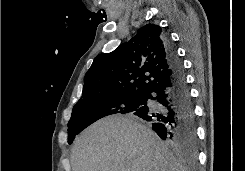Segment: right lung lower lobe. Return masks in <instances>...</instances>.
Returning <instances> with one entry per match:
<instances>
[{
	"label": "right lung lower lobe",
	"instance_id": "98d812e1",
	"mask_svg": "<svg viewBox=\"0 0 245 171\" xmlns=\"http://www.w3.org/2000/svg\"><path fill=\"white\" fill-rule=\"evenodd\" d=\"M165 43L170 75L147 89L142 105L131 114L149 122L161 139L193 151L197 135L190 90L174 46L167 38Z\"/></svg>",
	"mask_w": 245,
	"mask_h": 171
}]
</instances>
